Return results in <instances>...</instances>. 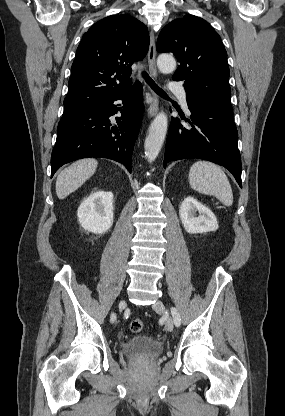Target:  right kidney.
Returning a JSON list of instances; mask_svg holds the SVG:
<instances>
[{
	"label": "right kidney",
	"mask_w": 285,
	"mask_h": 416,
	"mask_svg": "<svg viewBox=\"0 0 285 416\" xmlns=\"http://www.w3.org/2000/svg\"><path fill=\"white\" fill-rule=\"evenodd\" d=\"M113 198L112 192H92L77 210L80 226L93 234L108 232L113 224Z\"/></svg>",
	"instance_id": "right-kidney-1"
}]
</instances>
